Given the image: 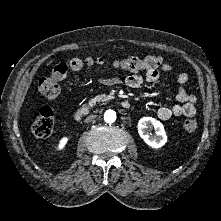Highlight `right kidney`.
<instances>
[{"mask_svg":"<svg viewBox=\"0 0 221 221\" xmlns=\"http://www.w3.org/2000/svg\"><path fill=\"white\" fill-rule=\"evenodd\" d=\"M68 140H69L68 137L61 138L59 141V144L57 146V149L62 150L65 147V145L67 144Z\"/></svg>","mask_w":221,"mask_h":221,"instance_id":"1","label":"right kidney"}]
</instances>
